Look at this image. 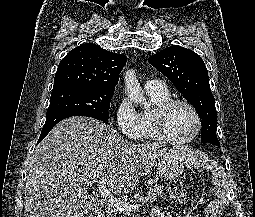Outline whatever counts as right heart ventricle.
Returning a JSON list of instances; mask_svg holds the SVG:
<instances>
[{
	"instance_id": "1",
	"label": "right heart ventricle",
	"mask_w": 255,
	"mask_h": 217,
	"mask_svg": "<svg viewBox=\"0 0 255 217\" xmlns=\"http://www.w3.org/2000/svg\"><path fill=\"white\" fill-rule=\"evenodd\" d=\"M146 93L153 103V108L150 110H144L139 113L141 124L140 138L142 140H158L155 134L153 123L154 111L162 103L171 99L170 93L166 88L160 90H146Z\"/></svg>"
}]
</instances>
